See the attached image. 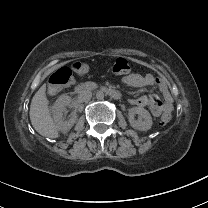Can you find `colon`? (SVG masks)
Listing matches in <instances>:
<instances>
[{
    "label": "colon",
    "instance_id": "1",
    "mask_svg": "<svg viewBox=\"0 0 208 208\" xmlns=\"http://www.w3.org/2000/svg\"><path fill=\"white\" fill-rule=\"evenodd\" d=\"M111 71L117 75H124L130 71L128 60L123 57H118L112 64ZM171 121L169 114L163 113L157 120L160 126H166Z\"/></svg>",
    "mask_w": 208,
    "mask_h": 208
}]
</instances>
